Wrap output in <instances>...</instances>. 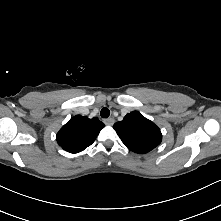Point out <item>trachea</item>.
I'll return each mask as SVG.
<instances>
[{
  "instance_id": "obj_1",
  "label": "trachea",
  "mask_w": 221,
  "mask_h": 221,
  "mask_svg": "<svg viewBox=\"0 0 221 221\" xmlns=\"http://www.w3.org/2000/svg\"><path fill=\"white\" fill-rule=\"evenodd\" d=\"M100 115L102 118H108L109 115H110V111L108 108L104 107L101 112H100Z\"/></svg>"
}]
</instances>
